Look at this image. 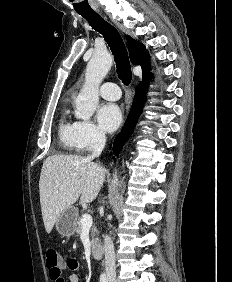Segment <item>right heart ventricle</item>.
Returning a JSON list of instances; mask_svg holds the SVG:
<instances>
[{"instance_id": "e07e8e85", "label": "right heart ventricle", "mask_w": 232, "mask_h": 282, "mask_svg": "<svg viewBox=\"0 0 232 282\" xmlns=\"http://www.w3.org/2000/svg\"><path fill=\"white\" fill-rule=\"evenodd\" d=\"M75 123L69 118V108L64 105L58 125V137L60 147L66 151H74L77 148L75 140Z\"/></svg>"}]
</instances>
